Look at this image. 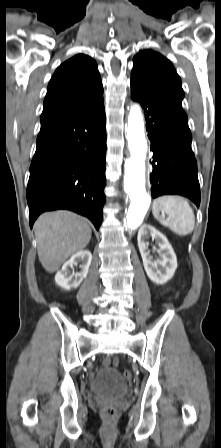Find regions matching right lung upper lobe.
Segmentation results:
<instances>
[{
  "label": "right lung upper lobe",
  "mask_w": 221,
  "mask_h": 448,
  "mask_svg": "<svg viewBox=\"0 0 221 448\" xmlns=\"http://www.w3.org/2000/svg\"><path fill=\"white\" fill-rule=\"evenodd\" d=\"M103 97L96 62L78 54L62 63L53 74L44 100L41 127L51 124Z\"/></svg>",
  "instance_id": "obj_1"
}]
</instances>
